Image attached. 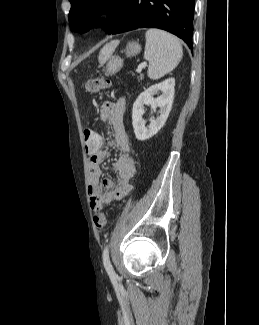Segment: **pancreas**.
<instances>
[{
  "label": "pancreas",
  "instance_id": "pancreas-1",
  "mask_svg": "<svg viewBox=\"0 0 259 325\" xmlns=\"http://www.w3.org/2000/svg\"><path fill=\"white\" fill-rule=\"evenodd\" d=\"M140 79H143V74L140 75Z\"/></svg>",
  "mask_w": 259,
  "mask_h": 325
}]
</instances>
